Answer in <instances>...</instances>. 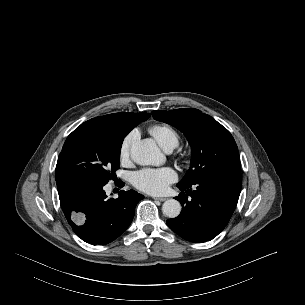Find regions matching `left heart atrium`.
Segmentation results:
<instances>
[{
    "label": "left heart atrium",
    "mask_w": 305,
    "mask_h": 305,
    "mask_svg": "<svg viewBox=\"0 0 305 305\" xmlns=\"http://www.w3.org/2000/svg\"><path fill=\"white\" fill-rule=\"evenodd\" d=\"M176 179V172L172 168L165 167L138 171L133 174L132 183L146 193L162 194Z\"/></svg>",
    "instance_id": "1"
}]
</instances>
